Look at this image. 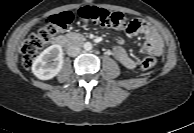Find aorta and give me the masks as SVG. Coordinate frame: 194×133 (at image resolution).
Masks as SVG:
<instances>
[{"instance_id": "762f6f07", "label": "aorta", "mask_w": 194, "mask_h": 133, "mask_svg": "<svg viewBox=\"0 0 194 133\" xmlns=\"http://www.w3.org/2000/svg\"><path fill=\"white\" fill-rule=\"evenodd\" d=\"M83 47L86 51H90L93 46L90 42H86V43H84Z\"/></svg>"}]
</instances>
